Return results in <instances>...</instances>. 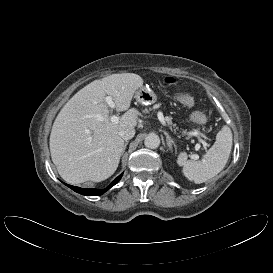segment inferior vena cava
I'll list each match as a JSON object with an SVG mask.
<instances>
[{
    "label": "inferior vena cava",
    "mask_w": 273,
    "mask_h": 273,
    "mask_svg": "<svg viewBox=\"0 0 273 273\" xmlns=\"http://www.w3.org/2000/svg\"><path fill=\"white\" fill-rule=\"evenodd\" d=\"M119 135L124 140H130L135 135V129L134 128H127L119 132Z\"/></svg>",
    "instance_id": "1"
}]
</instances>
